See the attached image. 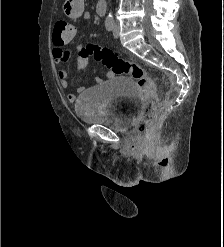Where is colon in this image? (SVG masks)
Returning a JSON list of instances; mask_svg holds the SVG:
<instances>
[{"mask_svg": "<svg viewBox=\"0 0 224 247\" xmlns=\"http://www.w3.org/2000/svg\"><path fill=\"white\" fill-rule=\"evenodd\" d=\"M77 35V28L64 19H58L53 27V39L61 42H70ZM80 60L86 61L93 57L114 74H128L137 83L143 99V112L136 125V131L140 134L147 131L156 113L157 94L156 86L151 77L137 63L118 57L112 50L98 45L83 46L78 50Z\"/></svg>", "mask_w": 224, "mask_h": 247, "instance_id": "5ec220e1", "label": "colon"}]
</instances>
